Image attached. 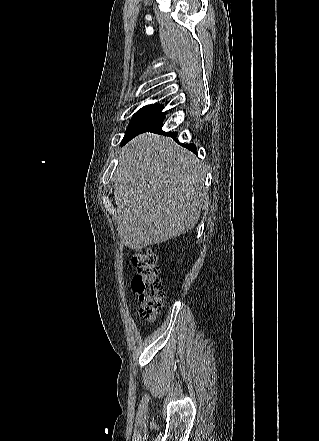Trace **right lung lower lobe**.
<instances>
[{
	"label": "right lung lower lobe",
	"instance_id": "right-lung-lower-lobe-1",
	"mask_svg": "<svg viewBox=\"0 0 319 441\" xmlns=\"http://www.w3.org/2000/svg\"><path fill=\"white\" fill-rule=\"evenodd\" d=\"M164 115L161 116L159 119H157L155 122H153L151 125L146 127L141 133L153 132V133H158V134H165V135H168V136L175 138L177 135V132H164L162 130V123L164 120ZM186 147L188 149L192 150L193 152H195V146L193 144L186 145Z\"/></svg>",
	"mask_w": 319,
	"mask_h": 441
}]
</instances>
